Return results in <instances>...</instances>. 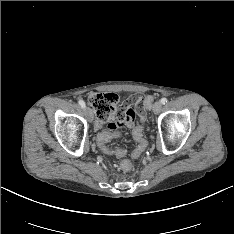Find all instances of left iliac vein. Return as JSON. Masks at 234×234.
I'll return each mask as SVG.
<instances>
[{"instance_id": "obj_1", "label": "left iliac vein", "mask_w": 234, "mask_h": 234, "mask_svg": "<svg viewBox=\"0 0 234 234\" xmlns=\"http://www.w3.org/2000/svg\"><path fill=\"white\" fill-rule=\"evenodd\" d=\"M162 110V103L160 101H156L153 105V112L155 114L160 113Z\"/></svg>"}]
</instances>
